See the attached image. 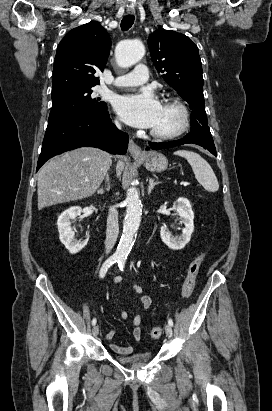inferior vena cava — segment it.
<instances>
[{"mask_svg":"<svg viewBox=\"0 0 272 411\" xmlns=\"http://www.w3.org/2000/svg\"><path fill=\"white\" fill-rule=\"evenodd\" d=\"M115 124L118 128H121V124L118 121H115ZM118 233V212L115 208H111L107 218V231L105 240L106 254L110 253V251L114 247L118 237Z\"/></svg>","mask_w":272,"mask_h":411,"instance_id":"obj_1","label":"inferior vena cava"}]
</instances>
